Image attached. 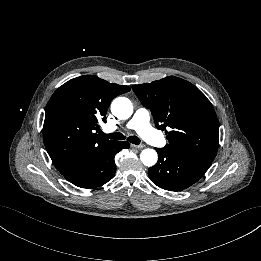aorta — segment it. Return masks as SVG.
Masks as SVG:
<instances>
[{"label":"aorta","mask_w":261,"mask_h":261,"mask_svg":"<svg viewBox=\"0 0 261 261\" xmlns=\"http://www.w3.org/2000/svg\"><path fill=\"white\" fill-rule=\"evenodd\" d=\"M111 112L117 118L126 120L133 114V105L128 98L118 97L111 104ZM140 159L144 165L153 166L157 162L158 155L154 149L147 148L141 152Z\"/></svg>","instance_id":"obj_1"}]
</instances>
